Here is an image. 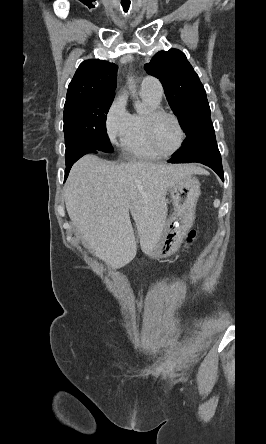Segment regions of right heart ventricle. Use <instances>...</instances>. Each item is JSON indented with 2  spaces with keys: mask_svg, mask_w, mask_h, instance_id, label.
<instances>
[{
  "mask_svg": "<svg viewBox=\"0 0 266 444\" xmlns=\"http://www.w3.org/2000/svg\"><path fill=\"white\" fill-rule=\"evenodd\" d=\"M142 97L150 110L159 108L160 102L143 94ZM145 116V114L139 113L129 116L127 128L121 140L122 151L124 155L132 159L158 160L162 156L150 147L146 137L144 127Z\"/></svg>",
  "mask_w": 266,
  "mask_h": 444,
  "instance_id": "1",
  "label": "right heart ventricle"
}]
</instances>
